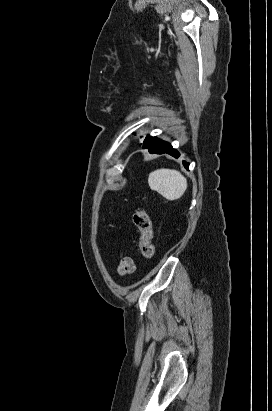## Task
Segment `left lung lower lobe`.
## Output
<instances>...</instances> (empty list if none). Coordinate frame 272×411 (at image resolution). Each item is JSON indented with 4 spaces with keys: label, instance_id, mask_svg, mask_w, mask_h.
Wrapping results in <instances>:
<instances>
[{
    "label": "left lung lower lobe",
    "instance_id": "left-lung-lower-lobe-1",
    "mask_svg": "<svg viewBox=\"0 0 272 411\" xmlns=\"http://www.w3.org/2000/svg\"><path fill=\"white\" fill-rule=\"evenodd\" d=\"M143 148L148 149L149 152L152 154L167 153L175 158H178L180 155L175 149L172 148V146L169 143L162 141L156 137H151V136H147V138L145 139L143 143ZM183 164L185 168L188 169L189 163L183 162Z\"/></svg>",
    "mask_w": 272,
    "mask_h": 411
}]
</instances>
